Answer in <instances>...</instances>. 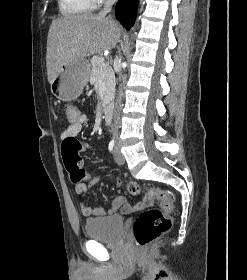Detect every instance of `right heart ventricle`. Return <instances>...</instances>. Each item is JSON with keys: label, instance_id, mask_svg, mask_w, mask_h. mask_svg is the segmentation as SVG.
I'll use <instances>...</instances> for the list:
<instances>
[{"label": "right heart ventricle", "instance_id": "e07e8e85", "mask_svg": "<svg viewBox=\"0 0 247 280\" xmlns=\"http://www.w3.org/2000/svg\"><path fill=\"white\" fill-rule=\"evenodd\" d=\"M94 7V0H59V9L64 16L85 14Z\"/></svg>", "mask_w": 247, "mask_h": 280}]
</instances>
